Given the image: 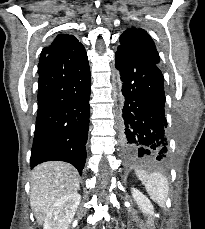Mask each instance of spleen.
<instances>
[{
	"instance_id": "spleen-1",
	"label": "spleen",
	"mask_w": 205,
	"mask_h": 229,
	"mask_svg": "<svg viewBox=\"0 0 205 229\" xmlns=\"http://www.w3.org/2000/svg\"><path fill=\"white\" fill-rule=\"evenodd\" d=\"M139 180L144 184L150 198L157 202L160 207H165L169 187L167 179L160 173L146 174L136 171Z\"/></svg>"
}]
</instances>
